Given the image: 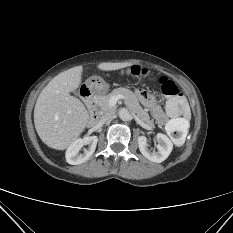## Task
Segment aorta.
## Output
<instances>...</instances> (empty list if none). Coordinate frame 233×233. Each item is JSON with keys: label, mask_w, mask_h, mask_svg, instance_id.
<instances>
[{"label": "aorta", "mask_w": 233, "mask_h": 233, "mask_svg": "<svg viewBox=\"0 0 233 233\" xmlns=\"http://www.w3.org/2000/svg\"><path fill=\"white\" fill-rule=\"evenodd\" d=\"M118 113L121 120L128 121L130 119V113L126 108H121Z\"/></svg>", "instance_id": "762f6f07"}]
</instances>
